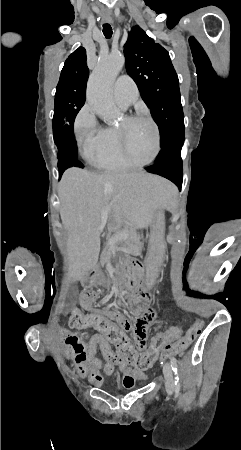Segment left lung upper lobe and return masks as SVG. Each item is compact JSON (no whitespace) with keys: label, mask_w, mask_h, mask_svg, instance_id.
<instances>
[{"label":"left lung upper lobe","mask_w":241,"mask_h":450,"mask_svg":"<svg viewBox=\"0 0 241 450\" xmlns=\"http://www.w3.org/2000/svg\"><path fill=\"white\" fill-rule=\"evenodd\" d=\"M126 70L159 127L161 147L184 131L179 80L169 53L135 26L124 45Z\"/></svg>","instance_id":"obj_1"}]
</instances>
